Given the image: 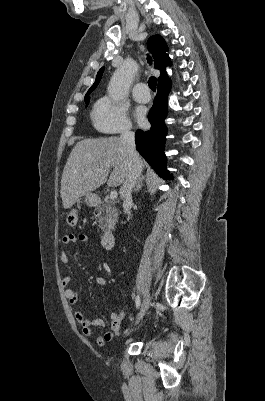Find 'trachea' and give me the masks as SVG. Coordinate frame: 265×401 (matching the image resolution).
Returning <instances> with one entry per match:
<instances>
[{
  "label": "trachea",
  "mask_w": 265,
  "mask_h": 401,
  "mask_svg": "<svg viewBox=\"0 0 265 401\" xmlns=\"http://www.w3.org/2000/svg\"><path fill=\"white\" fill-rule=\"evenodd\" d=\"M148 63H151V57H147ZM149 87L152 91L156 90L157 80L154 76H151L148 80Z\"/></svg>",
  "instance_id": "obj_1"
}]
</instances>
